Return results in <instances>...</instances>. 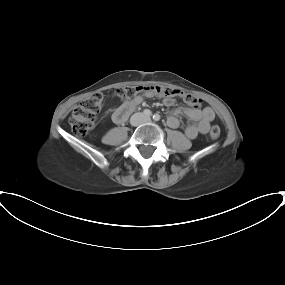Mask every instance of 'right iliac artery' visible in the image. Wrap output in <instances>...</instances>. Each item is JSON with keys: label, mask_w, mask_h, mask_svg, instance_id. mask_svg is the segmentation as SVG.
Returning <instances> with one entry per match:
<instances>
[{"label": "right iliac artery", "mask_w": 285, "mask_h": 285, "mask_svg": "<svg viewBox=\"0 0 285 285\" xmlns=\"http://www.w3.org/2000/svg\"><path fill=\"white\" fill-rule=\"evenodd\" d=\"M143 114H144L145 116L149 117V116L152 115V112H151L149 109H145V110L143 111Z\"/></svg>", "instance_id": "1"}]
</instances>
